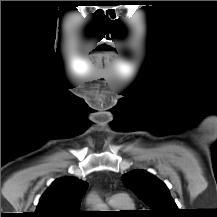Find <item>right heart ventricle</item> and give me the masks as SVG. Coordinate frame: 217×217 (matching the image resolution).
<instances>
[{
  "label": "right heart ventricle",
  "instance_id": "obj_1",
  "mask_svg": "<svg viewBox=\"0 0 217 217\" xmlns=\"http://www.w3.org/2000/svg\"><path fill=\"white\" fill-rule=\"evenodd\" d=\"M116 210H131L134 208V204L131 200H128L127 203L121 205H111Z\"/></svg>",
  "mask_w": 217,
  "mask_h": 217
}]
</instances>
